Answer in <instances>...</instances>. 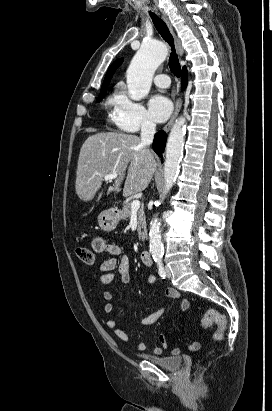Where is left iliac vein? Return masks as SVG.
Segmentation results:
<instances>
[{"label": "left iliac vein", "instance_id": "left-iliac-vein-1", "mask_svg": "<svg viewBox=\"0 0 272 411\" xmlns=\"http://www.w3.org/2000/svg\"><path fill=\"white\" fill-rule=\"evenodd\" d=\"M165 272H166V276H167L168 278H170V277H171V271H170V269H169L168 266L165 267Z\"/></svg>", "mask_w": 272, "mask_h": 411}]
</instances>
